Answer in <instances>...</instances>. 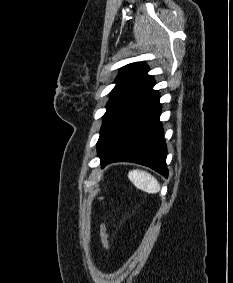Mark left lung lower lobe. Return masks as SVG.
<instances>
[{"label": "left lung lower lobe", "instance_id": "1", "mask_svg": "<svg viewBox=\"0 0 233 283\" xmlns=\"http://www.w3.org/2000/svg\"><path fill=\"white\" fill-rule=\"evenodd\" d=\"M154 85L152 79L98 149L102 168L113 162H135L168 177L167 148L159 121L160 97L158 92L152 89Z\"/></svg>", "mask_w": 233, "mask_h": 283}]
</instances>
